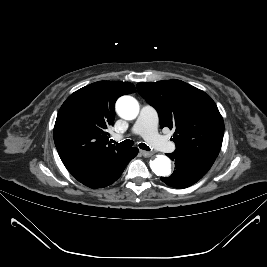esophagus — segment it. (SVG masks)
I'll return each mask as SVG.
<instances>
[{
    "mask_svg": "<svg viewBox=\"0 0 267 267\" xmlns=\"http://www.w3.org/2000/svg\"><path fill=\"white\" fill-rule=\"evenodd\" d=\"M140 152H141V154H142L144 157H150V156L153 155V153H152V152H149V151L141 150Z\"/></svg>",
    "mask_w": 267,
    "mask_h": 267,
    "instance_id": "34e87169",
    "label": "esophagus"
}]
</instances>
